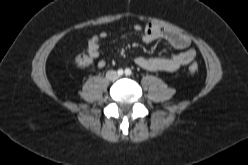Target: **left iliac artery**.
<instances>
[{"mask_svg":"<svg viewBox=\"0 0 248 165\" xmlns=\"http://www.w3.org/2000/svg\"><path fill=\"white\" fill-rule=\"evenodd\" d=\"M125 74L128 75V76L131 75V70L130 69H126L125 70Z\"/></svg>","mask_w":248,"mask_h":165,"instance_id":"obj_1","label":"left iliac artery"}]
</instances>
